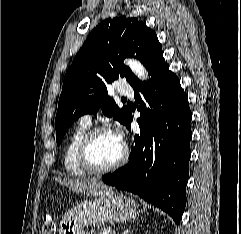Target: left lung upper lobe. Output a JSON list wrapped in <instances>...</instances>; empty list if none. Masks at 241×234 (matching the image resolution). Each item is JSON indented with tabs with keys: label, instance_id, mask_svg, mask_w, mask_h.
I'll use <instances>...</instances> for the list:
<instances>
[{
	"label": "left lung upper lobe",
	"instance_id": "left-lung-upper-lobe-1",
	"mask_svg": "<svg viewBox=\"0 0 241 234\" xmlns=\"http://www.w3.org/2000/svg\"><path fill=\"white\" fill-rule=\"evenodd\" d=\"M160 49L155 32L137 18L116 17L96 26L64 77L55 119L57 145L74 121L100 108L106 116L126 124L130 111L116 105L106 85L119 77H126L131 85L138 78L123 59L134 57L146 66Z\"/></svg>",
	"mask_w": 241,
	"mask_h": 234
}]
</instances>
